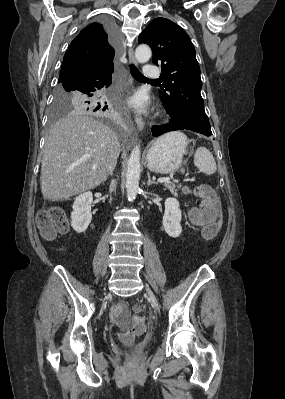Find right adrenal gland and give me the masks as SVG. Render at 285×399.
Segmentation results:
<instances>
[{"instance_id": "obj_1", "label": "right adrenal gland", "mask_w": 285, "mask_h": 399, "mask_svg": "<svg viewBox=\"0 0 285 399\" xmlns=\"http://www.w3.org/2000/svg\"><path fill=\"white\" fill-rule=\"evenodd\" d=\"M114 169H115V166L110 170V172H109V175H110V176H113V171H114Z\"/></svg>"}]
</instances>
